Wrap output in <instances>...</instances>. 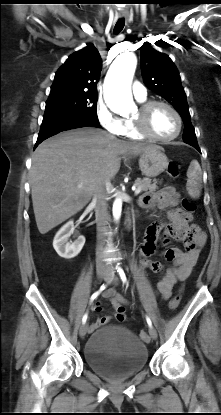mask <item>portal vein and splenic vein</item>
<instances>
[{"mask_svg": "<svg viewBox=\"0 0 221 415\" xmlns=\"http://www.w3.org/2000/svg\"><path fill=\"white\" fill-rule=\"evenodd\" d=\"M80 187H81V185H80ZM133 191H134L135 195H138L141 192L140 188H134Z\"/></svg>", "mask_w": 221, "mask_h": 415, "instance_id": "obj_1", "label": "portal vein and splenic vein"}]
</instances>
